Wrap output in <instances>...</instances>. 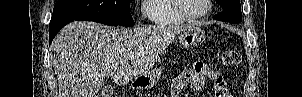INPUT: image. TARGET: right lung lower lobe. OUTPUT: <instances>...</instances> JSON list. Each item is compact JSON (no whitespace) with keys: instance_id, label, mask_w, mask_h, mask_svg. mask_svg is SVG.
<instances>
[{"instance_id":"98d812e1","label":"right lung lower lobe","mask_w":302,"mask_h":97,"mask_svg":"<svg viewBox=\"0 0 302 97\" xmlns=\"http://www.w3.org/2000/svg\"><path fill=\"white\" fill-rule=\"evenodd\" d=\"M74 20H87V21H94V22H99L102 24L110 25V26H118L117 24L102 20L99 18H91V17H77V18H70V19H65L62 21H58L54 24H49V44H51L53 38L55 35L68 23L74 21Z\"/></svg>"}]
</instances>
